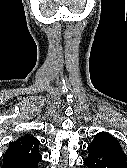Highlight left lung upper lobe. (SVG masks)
<instances>
[{
  "instance_id": "5c2ea615",
  "label": "left lung upper lobe",
  "mask_w": 127,
  "mask_h": 168,
  "mask_svg": "<svg viewBox=\"0 0 127 168\" xmlns=\"http://www.w3.org/2000/svg\"><path fill=\"white\" fill-rule=\"evenodd\" d=\"M95 138H105V139H108V140L114 142L120 148V150L122 151L121 145L119 144V142L117 141V139H115L114 137H112L110 134H108L106 132H100V133L96 134ZM122 153H123V151H122ZM124 156H125V154H124Z\"/></svg>"
}]
</instances>
